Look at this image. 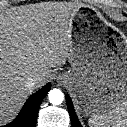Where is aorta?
Wrapping results in <instances>:
<instances>
[{"label": "aorta", "mask_w": 127, "mask_h": 127, "mask_svg": "<svg viewBox=\"0 0 127 127\" xmlns=\"http://www.w3.org/2000/svg\"><path fill=\"white\" fill-rule=\"evenodd\" d=\"M48 98L51 104L53 105H59L64 100V94L59 89H52L48 93Z\"/></svg>", "instance_id": "762f6f07"}]
</instances>
